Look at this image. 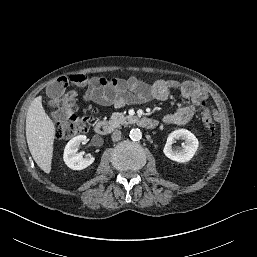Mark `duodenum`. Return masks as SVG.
Listing matches in <instances>:
<instances>
[{
    "instance_id": "duodenum-1",
    "label": "duodenum",
    "mask_w": 257,
    "mask_h": 257,
    "mask_svg": "<svg viewBox=\"0 0 257 257\" xmlns=\"http://www.w3.org/2000/svg\"><path fill=\"white\" fill-rule=\"evenodd\" d=\"M138 125L145 129H153L157 126V121L152 118L142 117L137 121ZM113 130V126L105 120H100L95 126L98 135H107Z\"/></svg>"
}]
</instances>
